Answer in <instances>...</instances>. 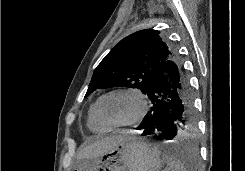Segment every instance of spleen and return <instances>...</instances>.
<instances>
[{
	"instance_id": "obj_1",
	"label": "spleen",
	"mask_w": 245,
	"mask_h": 171,
	"mask_svg": "<svg viewBox=\"0 0 245 171\" xmlns=\"http://www.w3.org/2000/svg\"><path fill=\"white\" fill-rule=\"evenodd\" d=\"M163 159L167 165L164 171H187L181 160L175 156L163 154Z\"/></svg>"
}]
</instances>
